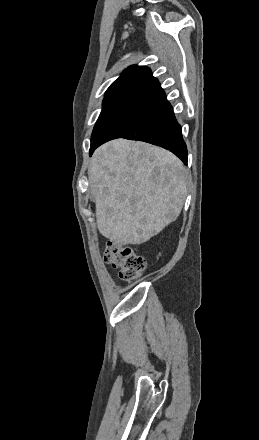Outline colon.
I'll return each instance as SVG.
<instances>
[{"label": "colon", "mask_w": 259, "mask_h": 440, "mask_svg": "<svg viewBox=\"0 0 259 440\" xmlns=\"http://www.w3.org/2000/svg\"><path fill=\"white\" fill-rule=\"evenodd\" d=\"M104 261L119 268V277L126 282L139 278L146 269L145 258L134 248L113 241L104 250Z\"/></svg>", "instance_id": "5ec220e1"}]
</instances>
